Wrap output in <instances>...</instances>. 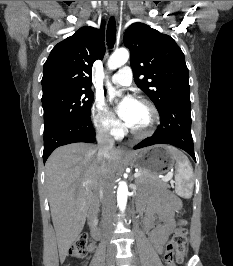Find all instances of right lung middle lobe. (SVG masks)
Listing matches in <instances>:
<instances>
[{"label":"right lung middle lobe","mask_w":233,"mask_h":266,"mask_svg":"<svg viewBox=\"0 0 233 266\" xmlns=\"http://www.w3.org/2000/svg\"><path fill=\"white\" fill-rule=\"evenodd\" d=\"M93 99L94 95L89 88L43 95L44 131L61 123L90 118Z\"/></svg>","instance_id":"1"}]
</instances>
